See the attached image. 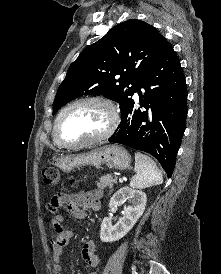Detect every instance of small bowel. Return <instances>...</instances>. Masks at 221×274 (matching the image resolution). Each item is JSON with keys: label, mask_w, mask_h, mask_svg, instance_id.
Masks as SVG:
<instances>
[{"label": "small bowel", "mask_w": 221, "mask_h": 274, "mask_svg": "<svg viewBox=\"0 0 221 274\" xmlns=\"http://www.w3.org/2000/svg\"><path fill=\"white\" fill-rule=\"evenodd\" d=\"M100 197V191L79 192L76 194L59 193L54 195L48 203V210L52 213L51 227L53 233L51 249L56 274H61L62 272V250L70 243L74 235L72 230L65 229L62 226L64 216L60 213V209L66 207L72 217L83 219L87 210L97 211L100 208ZM82 257L89 266H98L100 259L95 252L93 241H88L84 244ZM90 274L96 273L91 272Z\"/></svg>", "instance_id": "c3829d8e"}]
</instances>
